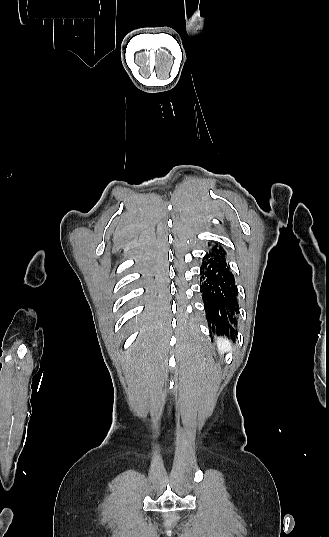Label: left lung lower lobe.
Returning a JSON list of instances; mask_svg holds the SVG:
<instances>
[{"mask_svg":"<svg viewBox=\"0 0 329 537\" xmlns=\"http://www.w3.org/2000/svg\"><path fill=\"white\" fill-rule=\"evenodd\" d=\"M200 291L210 330L237 336L238 288L220 246L207 252L200 268Z\"/></svg>","mask_w":329,"mask_h":537,"instance_id":"1","label":"left lung lower lobe"}]
</instances>
